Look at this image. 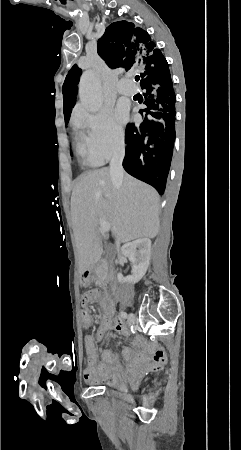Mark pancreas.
Instances as JSON below:
<instances>
[{
    "label": "pancreas",
    "instance_id": "pancreas-1",
    "mask_svg": "<svg viewBox=\"0 0 241 450\" xmlns=\"http://www.w3.org/2000/svg\"><path fill=\"white\" fill-rule=\"evenodd\" d=\"M98 276H97V280H96V284H103L104 280H106L107 278V268H104V270H99V272H97Z\"/></svg>",
    "mask_w": 241,
    "mask_h": 450
}]
</instances>
